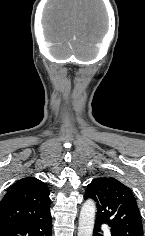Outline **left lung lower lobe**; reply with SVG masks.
Instances as JSON below:
<instances>
[{"mask_svg":"<svg viewBox=\"0 0 145 236\" xmlns=\"http://www.w3.org/2000/svg\"><path fill=\"white\" fill-rule=\"evenodd\" d=\"M101 224H102V222L96 220L93 236H102L101 234H99ZM111 236H112V234H111Z\"/></svg>","mask_w":145,"mask_h":236,"instance_id":"0a47b994","label":"left lung lower lobe"}]
</instances>
